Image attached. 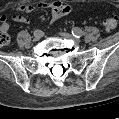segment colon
<instances>
[{
    "label": "colon",
    "mask_w": 119,
    "mask_h": 119,
    "mask_svg": "<svg viewBox=\"0 0 119 119\" xmlns=\"http://www.w3.org/2000/svg\"><path fill=\"white\" fill-rule=\"evenodd\" d=\"M118 18L112 14L104 20V27L107 31H112L117 27ZM10 40L9 31L6 28L0 27V45H6Z\"/></svg>",
    "instance_id": "obj_1"
}]
</instances>
